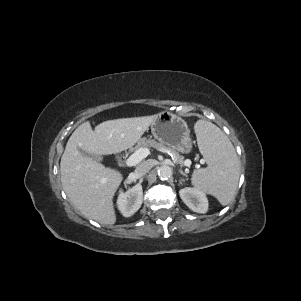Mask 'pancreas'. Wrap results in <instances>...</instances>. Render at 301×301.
<instances>
[{"label": "pancreas", "instance_id": "1", "mask_svg": "<svg viewBox=\"0 0 301 301\" xmlns=\"http://www.w3.org/2000/svg\"><path fill=\"white\" fill-rule=\"evenodd\" d=\"M147 147H153L155 149H158L160 151L164 152H171L174 155V160L178 164H183L184 163V157L180 156L176 151L171 149L170 147L165 146L162 143H158L157 141L150 139V138H141L137 145L135 146V150L140 149V148H147Z\"/></svg>", "mask_w": 301, "mask_h": 301}]
</instances>
